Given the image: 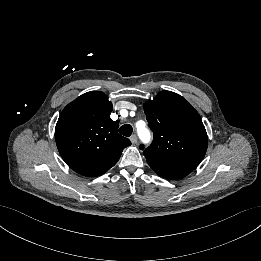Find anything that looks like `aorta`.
Returning a JSON list of instances; mask_svg holds the SVG:
<instances>
[{"instance_id": "762f6f07", "label": "aorta", "mask_w": 261, "mask_h": 261, "mask_svg": "<svg viewBox=\"0 0 261 261\" xmlns=\"http://www.w3.org/2000/svg\"><path fill=\"white\" fill-rule=\"evenodd\" d=\"M137 131L140 139L144 143H148L150 141V132L148 129H146L145 127H139L137 124Z\"/></svg>"}]
</instances>
